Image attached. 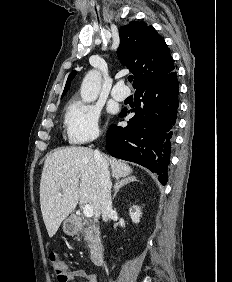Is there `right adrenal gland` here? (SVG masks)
<instances>
[{
	"label": "right adrenal gland",
	"mask_w": 232,
	"mask_h": 282,
	"mask_svg": "<svg viewBox=\"0 0 232 282\" xmlns=\"http://www.w3.org/2000/svg\"><path fill=\"white\" fill-rule=\"evenodd\" d=\"M134 181H138L136 179V177H134V176H130V177H127V178H124V179L117 178L116 181H115V185H114L113 200L115 199L117 193L119 192V190L122 187H124L125 185H128L129 183L134 182Z\"/></svg>",
	"instance_id": "1"
}]
</instances>
